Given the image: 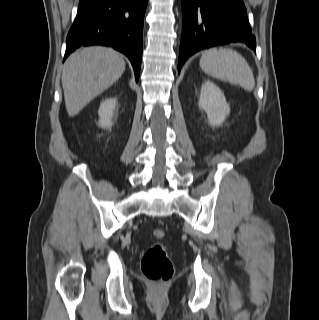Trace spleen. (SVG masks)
<instances>
[{
	"label": "spleen",
	"mask_w": 319,
	"mask_h": 320,
	"mask_svg": "<svg viewBox=\"0 0 319 320\" xmlns=\"http://www.w3.org/2000/svg\"><path fill=\"white\" fill-rule=\"evenodd\" d=\"M201 69L212 77L240 85L246 91L255 86L253 71L238 52L228 48H211L203 52Z\"/></svg>",
	"instance_id": "1"
}]
</instances>
